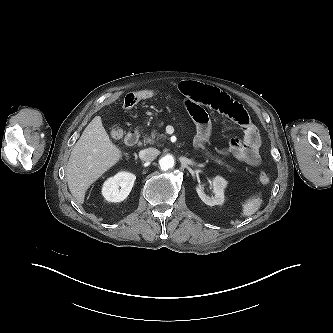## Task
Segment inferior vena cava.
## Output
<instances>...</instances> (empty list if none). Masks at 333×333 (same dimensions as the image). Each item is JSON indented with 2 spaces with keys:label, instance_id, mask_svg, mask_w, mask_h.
<instances>
[{
  "label": "inferior vena cava",
  "instance_id": "inferior-vena-cava-1",
  "mask_svg": "<svg viewBox=\"0 0 333 333\" xmlns=\"http://www.w3.org/2000/svg\"><path fill=\"white\" fill-rule=\"evenodd\" d=\"M140 153L144 160L151 161L154 160L160 154V151L156 148H147L142 150Z\"/></svg>",
  "mask_w": 333,
  "mask_h": 333
}]
</instances>
